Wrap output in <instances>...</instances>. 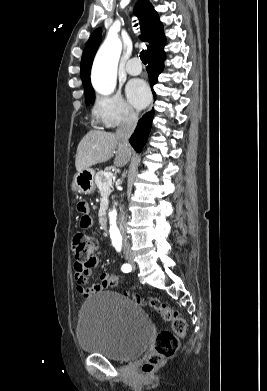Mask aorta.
<instances>
[{
	"mask_svg": "<svg viewBox=\"0 0 267 391\" xmlns=\"http://www.w3.org/2000/svg\"><path fill=\"white\" fill-rule=\"evenodd\" d=\"M122 51V42L117 35L108 34L99 48L92 66V84L96 92L101 95H110L114 92L117 83V66ZM116 211L110 212V236L118 246L120 232L116 223Z\"/></svg>",
	"mask_w": 267,
	"mask_h": 391,
	"instance_id": "1",
	"label": "aorta"
}]
</instances>
